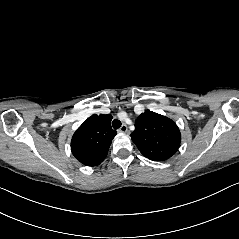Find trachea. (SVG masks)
Masks as SVG:
<instances>
[{
    "instance_id": "1",
    "label": "trachea",
    "mask_w": 239,
    "mask_h": 239,
    "mask_svg": "<svg viewBox=\"0 0 239 239\" xmlns=\"http://www.w3.org/2000/svg\"><path fill=\"white\" fill-rule=\"evenodd\" d=\"M112 126H113L114 129L120 128L121 127V121H119L118 119H114L112 121Z\"/></svg>"
}]
</instances>
